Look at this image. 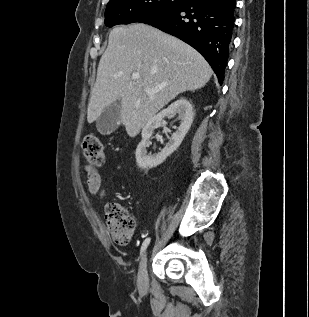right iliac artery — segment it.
<instances>
[{"label":"right iliac artery","mask_w":309,"mask_h":317,"mask_svg":"<svg viewBox=\"0 0 309 317\" xmlns=\"http://www.w3.org/2000/svg\"><path fill=\"white\" fill-rule=\"evenodd\" d=\"M150 243V238H146L144 240V242L142 243V246H141V253L145 251V249L147 248V246L149 245Z\"/></svg>","instance_id":"obj_1"}]
</instances>
